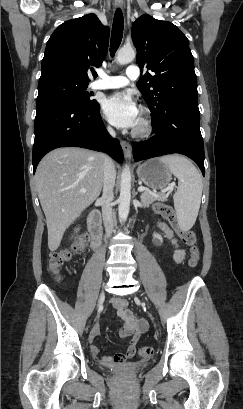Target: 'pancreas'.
<instances>
[{
    "instance_id": "pancreas-1",
    "label": "pancreas",
    "mask_w": 243,
    "mask_h": 409,
    "mask_svg": "<svg viewBox=\"0 0 243 409\" xmlns=\"http://www.w3.org/2000/svg\"><path fill=\"white\" fill-rule=\"evenodd\" d=\"M165 195L162 194H153L149 190H145L141 193L140 199L144 207H148L156 200H165Z\"/></svg>"
}]
</instances>
